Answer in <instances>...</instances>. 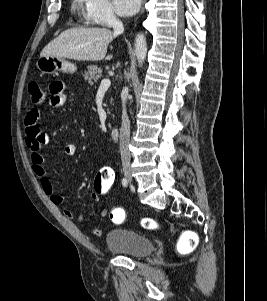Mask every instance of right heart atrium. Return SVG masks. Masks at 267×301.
Wrapping results in <instances>:
<instances>
[{
  "instance_id": "d8ad5b80",
  "label": "right heart atrium",
  "mask_w": 267,
  "mask_h": 301,
  "mask_svg": "<svg viewBox=\"0 0 267 301\" xmlns=\"http://www.w3.org/2000/svg\"><path fill=\"white\" fill-rule=\"evenodd\" d=\"M84 19L88 24L109 27L117 20L109 0H85Z\"/></svg>"
}]
</instances>
